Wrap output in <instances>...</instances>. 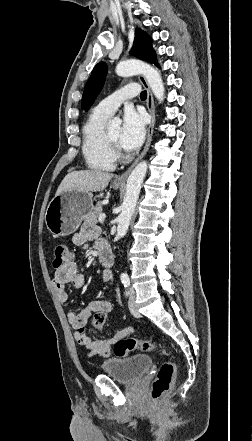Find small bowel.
<instances>
[{
	"instance_id": "1",
	"label": "small bowel",
	"mask_w": 252,
	"mask_h": 441,
	"mask_svg": "<svg viewBox=\"0 0 252 441\" xmlns=\"http://www.w3.org/2000/svg\"><path fill=\"white\" fill-rule=\"evenodd\" d=\"M96 240L97 247L105 243L99 239V230L91 225L84 226L79 232L75 233L72 241L75 245H83L88 241ZM112 273L110 270H103L101 273V281L104 284L112 282ZM84 275L79 271L74 261L56 269L53 286L55 288L58 299L66 302L69 298L67 284H71L73 289L81 290L84 286ZM111 304L108 300H96L88 304L79 312L69 311L67 319L74 329L76 340L84 346L89 357L101 356L108 357L111 354L112 347L115 343L125 337L131 335L134 331L132 327H126L118 331L113 337L107 339L91 338L86 333L81 334L80 331L86 326L91 314L102 310L106 305Z\"/></svg>"
}]
</instances>
